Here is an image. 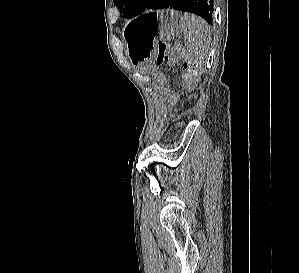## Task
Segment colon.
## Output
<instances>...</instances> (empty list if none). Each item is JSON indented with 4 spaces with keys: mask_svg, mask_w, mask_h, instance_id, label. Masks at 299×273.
I'll use <instances>...</instances> for the list:
<instances>
[{
    "mask_svg": "<svg viewBox=\"0 0 299 273\" xmlns=\"http://www.w3.org/2000/svg\"><path fill=\"white\" fill-rule=\"evenodd\" d=\"M181 51V48L178 46H172L167 42L159 41L156 50V62L157 64L175 66L178 63L177 54ZM183 67L187 81H192L198 77V68L193 61L184 62Z\"/></svg>",
    "mask_w": 299,
    "mask_h": 273,
    "instance_id": "obj_1",
    "label": "colon"
}]
</instances>
